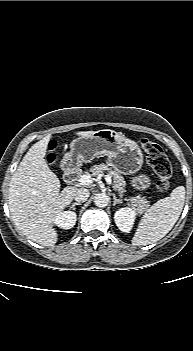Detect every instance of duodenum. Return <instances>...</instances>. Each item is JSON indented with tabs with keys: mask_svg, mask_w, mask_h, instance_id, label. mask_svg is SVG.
I'll list each match as a JSON object with an SVG mask.
<instances>
[{
	"mask_svg": "<svg viewBox=\"0 0 193 351\" xmlns=\"http://www.w3.org/2000/svg\"><path fill=\"white\" fill-rule=\"evenodd\" d=\"M64 180L68 186H73L80 172L77 160L73 156H67L63 161Z\"/></svg>",
	"mask_w": 193,
	"mask_h": 351,
	"instance_id": "duodenum-1",
	"label": "duodenum"
}]
</instances>
